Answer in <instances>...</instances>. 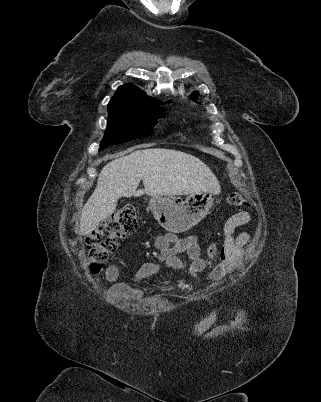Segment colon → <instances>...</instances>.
<instances>
[{
  "label": "colon",
  "instance_id": "obj_1",
  "mask_svg": "<svg viewBox=\"0 0 321 402\" xmlns=\"http://www.w3.org/2000/svg\"><path fill=\"white\" fill-rule=\"evenodd\" d=\"M231 207H240L247 204L239 193H231L227 197ZM137 208L131 204L120 207L110 217L106 218L95 228L85 240L86 258L89 270L93 275H99L108 256L117 248V240L133 233L139 224ZM208 254L215 258L217 248L209 247Z\"/></svg>",
  "mask_w": 321,
  "mask_h": 402
}]
</instances>
